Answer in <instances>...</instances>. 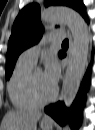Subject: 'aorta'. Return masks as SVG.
I'll list each match as a JSON object with an SVG mask.
<instances>
[{
	"instance_id": "1",
	"label": "aorta",
	"mask_w": 95,
	"mask_h": 130,
	"mask_svg": "<svg viewBox=\"0 0 95 130\" xmlns=\"http://www.w3.org/2000/svg\"><path fill=\"white\" fill-rule=\"evenodd\" d=\"M41 21L43 23H64L72 34L73 51L62 86V100L69 108L75 100L87 66L90 34L82 16L70 8L51 7L45 9L41 12ZM69 129L70 125L67 123L65 130Z\"/></svg>"
}]
</instances>
